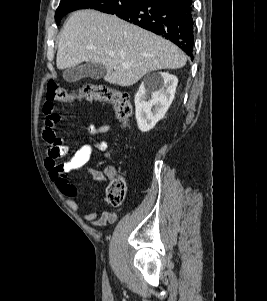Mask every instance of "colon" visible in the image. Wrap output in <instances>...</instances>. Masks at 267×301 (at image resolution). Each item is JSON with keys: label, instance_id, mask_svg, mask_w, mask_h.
<instances>
[{"label": "colon", "instance_id": "obj_1", "mask_svg": "<svg viewBox=\"0 0 267 301\" xmlns=\"http://www.w3.org/2000/svg\"><path fill=\"white\" fill-rule=\"evenodd\" d=\"M46 99L59 102L81 100L106 102L113 106L118 119L124 127L127 126L131 116V104L128 95L106 85L87 84L76 91L68 92L56 82L50 81L46 89ZM107 177V199L111 205L119 206L123 203L126 194L125 181L113 171Z\"/></svg>", "mask_w": 267, "mask_h": 301}]
</instances>
